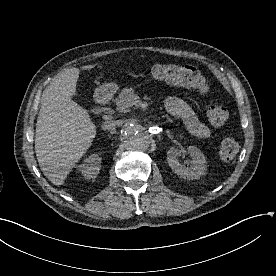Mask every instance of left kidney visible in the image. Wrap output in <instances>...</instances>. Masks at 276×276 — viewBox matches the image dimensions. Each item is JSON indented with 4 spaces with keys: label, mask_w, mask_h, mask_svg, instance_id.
<instances>
[{
    "label": "left kidney",
    "mask_w": 276,
    "mask_h": 276,
    "mask_svg": "<svg viewBox=\"0 0 276 276\" xmlns=\"http://www.w3.org/2000/svg\"><path fill=\"white\" fill-rule=\"evenodd\" d=\"M187 152L193 158L191 168H187L180 164L179 157L184 153V151L174 147L170 148L167 152L168 164L175 174L184 179H199L205 174L207 163L206 158L202 151L196 146H189Z\"/></svg>",
    "instance_id": "left-kidney-1"
}]
</instances>
